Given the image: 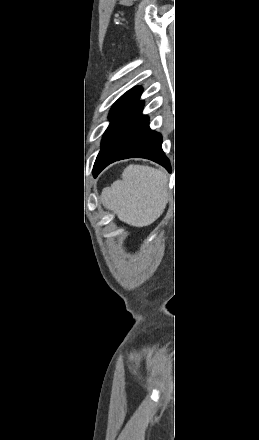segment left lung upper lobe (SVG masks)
Wrapping results in <instances>:
<instances>
[{
  "instance_id": "1",
  "label": "left lung upper lobe",
  "mask_w": 259,
  "mask_h": 440,
  "mask_svg": "<svg viewBox=\"0 0 259 440\" xmlns=\"http://www.w3.org/2000/svg\"><path fill=\"white\" fill-rule=\"evenodd\" d=\"M142 93L141 87H134L133 89L126 92L122 97H120L116 103L113 105L110 113L109 118L111 120L110 125L108 126L107 130L104 133L102 142H101V150L99 154L102 152V150L105 148L111 137L113 136L114 132L116 131L117 127L120 125V123L123 121V119L128 115V113L132 110V108L136 105L138 102L140 95ZM98 154V156H99Z\"/></svg>"
}]
</instances>
